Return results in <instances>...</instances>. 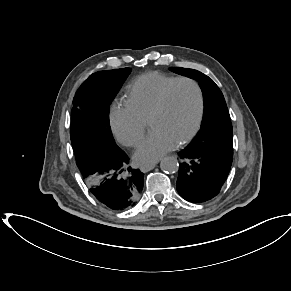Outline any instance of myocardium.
Segmentation results:
<instances>
[{
    "mask_svg": "<svg viewBox=\"0 0 291 291\" xmlns=\"http://www.w3.org/2000/svg\"><path fill=\"white\" fill-rule=\"evenodd\" d=\"M182 82H186L191 84L196 93H197V97H198V115H197V119L195 122L194 127L192 128V130L187 133L185 136H183L178 142L177 145H184L186 143H188L189 141H191L199 132L202 123H203V119H204V114H205V99H204V94H203V90L200 86V84L190 78V77H178L176 79H174L161 93L160 98L158 100V103L156 104V106L154 107V109L152 110L150 116H149V120L148 123L150 124L151 121L159 116L160 114H162L165 109L167 108L168 105V99H169V95L171 93V91L173 90V88Z\"/></svg>",
    "mask_w": 291,
    "mask_h": 291,
    "instance_id": "f54148a6",
    "label": "myocardium"
}]
</instances>
